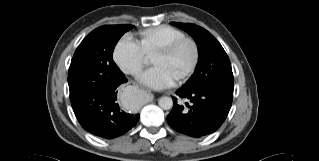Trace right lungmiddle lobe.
<instances>
[{
	"mask_svg": "<svg viewBox=\"0 0 319 161\" xmlns=\"http://www.w3.org/2000/svg\"><path fill=\"white\" fill-rule=\"evenodd\" d=\"M132 25H108L93 30L77 47L68 70L70 101L95 86L112 82L122 74L113 61V51Z\"/></svg>",
	"mask_w": 319,
	"mask_h": 161,
	"instance_id": "right-lung-middle-lobe-1",
	"label": "right lung middle lobe"
}]
</instances>
